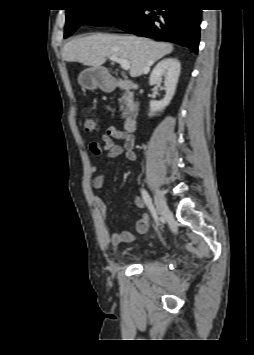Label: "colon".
<instances>
[{
	"label": "colon",
	"instance_id": "obj_1",
	"mask_svg": "<svg viewBox=\"0 0 254 355\" xmlns=\"http://www.w3.org/2000/svg\"><path fill=\"white\" fill-rule=\"evenodd\" d=\"M83 128L86 132L92 133L97 130V124L93 118L85 117L83 119Z\"/></svg>",
	"mask_w": 254,
	"mask_h": 355
}]
</instances>
